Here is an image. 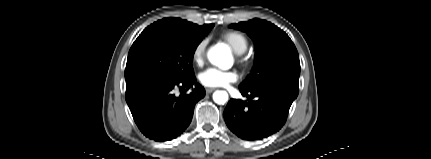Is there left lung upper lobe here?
Masks as SVG:
<instances>
[{
  "mask_svg": "<svg viewBox=\"0 0 431 159\" xmlns=\"http://www.w3.org/2000/svg\"><path fill=\"white\" fill-rule=\"evenodd\" d=\"M230 27L246 32L254 40L256 48L254 67L239 88L252 90L280 83L298 89V52L283 30L261 19L232 24Z\"/></svg>",
  "mask_w": 431,
  "mask_h": 159,
  "instance_id": "left-lung-upper-lobe-1",
  "label": "left lung upper lobe"
}]
</instances>
